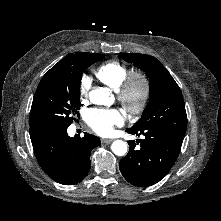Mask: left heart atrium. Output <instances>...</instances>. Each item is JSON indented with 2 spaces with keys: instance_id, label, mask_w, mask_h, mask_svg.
Segmentation results:
<instances>
[{
  "instance_id": "1",
  "label": "left heart atrium",
  "mask_w": 221,
  "mask_h": 221,
  "mask_svg": "<svg viewBox=\"0 0 221 221\" xmlns=\"http://www.w3.org/2000/svg\"><path fill=\"white\" fill-rule=\"evenodd\" d=\"M87 124L99 135H109L115 126L124 122L123 114L118 109L93 108L86 112Z\"/></svg>"
}]
</instances>
